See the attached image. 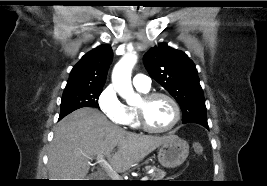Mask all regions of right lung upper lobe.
<instances>
[{
  "mask_svg": "<svg viewBox=\"0 0 267 186\" xmlns=\"http://www.w3.org/2000/svg\"><path fill=\"white\" fill-rule=\"evenodd\" d=\"M112 58L109 45L98 46L86 53L73 67L65 89L103 88Z\"/></svg>",
  "mask_w": 267,
  "mask_h": 186,
  "instance_id": "obj_1",
  "label": "right lung upper lobe"
}]
</instances>
